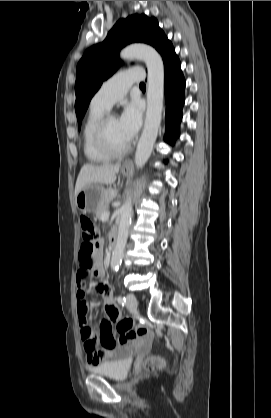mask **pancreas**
I'll use <instances>...</instances> for the list:
<instances>
[{"label":"pancreas","instance_id":"pancreas-1","mask_svg":"<svg viewBox=\"0 0 271 418\" xmlns=\"http://www.w3.org/2000/svg\"><path fill=\"white\" fill-rule=\"evenodd\" d=\"M116 189H107L102 197L101 203L96 211V216L98 219H101L103 214L108 210L109 203L116 197Z\"/></svg>","mask_w":271,"mask_h":418}]
</instances>
